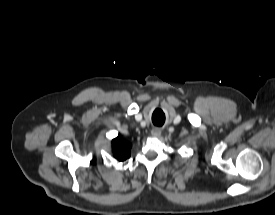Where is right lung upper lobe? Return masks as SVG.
<instances>
[{
    "label": "right lung upper lobe",
    "mask_w": 275,
    "mask_h": 215,
    "mask_svg": "<svg viewBox=\"0 0 275 215\" xmlns=\"http://www.w3.org/2000/svg\"><path fill=\"white\" fill-rule=\"evenodd\" d=\"M112 150L118 161H124L130 157L131 144L118 136L112 140Z\"/></svg>",
    "instance_id": "obj_1"
}]
</instances>
